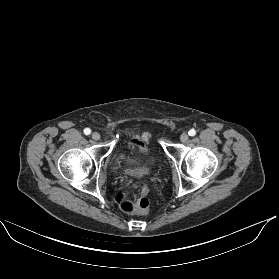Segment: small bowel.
<instances>
[{"label": "small bowel", "instance_id": "small-bowel-1", "mask_svg": "<svg viewBox=\"0 0 279 279\" xmlns=\"http://www.w3.org/2000/svg\"><path fill=\"white\" fill-rule=\"evenodd\" d=\"M131 144L133 146H138L140 152L142 154H146L147 152V146L149 144V134L148 133H144L142 134V136L136 138V139H133L131 140ZM138 158L137 157H131L127 160L128 164H137L138 162ZM142 192H146V187H143L142 188Z\"/></svg>", "mask_w": 279, "mask_h": 279}]
</instances>
